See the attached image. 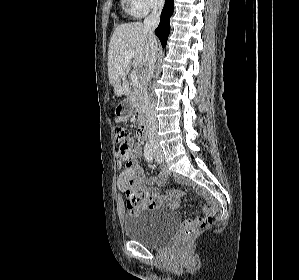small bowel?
I'll return each instance as SVG.
<instances>
[{"instance_id": "small-bowel-1", "label": "small bowel", "mask_w": 299, "mask_h": 280, "mask_svg": "<svg viewBox=\"0 0 299 280\" xmlns=\"http://www.w3.org/2000/svg\"><path fill=\"white\" fill-rule=\"evenodd\" d=\"M141 153V146L136 144L132 147L130 166L125 168L118 177L117 185L121 192L126 193L128 197L127 206L133 204L136 208H157L166 206L176 209L182 195L180 190H170L168 192H159L156 186L163 185L169 178V173L161 172L153 179H147L138 165L137 157ZM182 181V180H181ZM131 196V197H129ZM133 199V201L131 200ZM216 206L210 203L204 208L206 215L215 212ZM203 218L189 219L185 221V226L195 225L201 222Z\"/></svg>"}]
</instances>
